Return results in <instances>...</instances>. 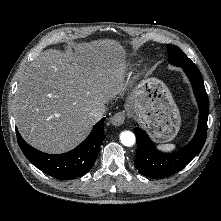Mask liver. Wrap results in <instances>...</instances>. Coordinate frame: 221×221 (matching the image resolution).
Returning <instances> with one entry per match:
<instances>
[{
  "mask_svg": "<svg viewBox=\"0 0 221 221\" xmlns=\"http://www.w3.org/2000/svg\"><path fill=\"white\" fill-rule=\"evenodd\" d=\"M124 61L123 46L111 39L77 43L67 53L42 52L22 74L14 99L25 141L53 154L79 145L97 122L92 110L121 91Z\"/></svg>",
  "mask_w": 221,
  "mask_h": 221,
  "instance_id": "1",
  "label": "liver"
}]
</instances>
